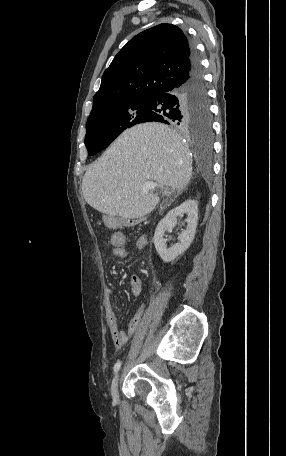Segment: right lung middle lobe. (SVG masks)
<instances>
[{
  "label": "right lung middle lobe",
  "instance_id": "obj_1",
  "mask_svg": "<svg viewBox=\"0 0 286 456\" xmlns=\"http://www.w3.org/2000/svg\"><path fill=\"white\" fill-rule=\"evenodd\" d=\"M147 99L131 98L109 104L89 116L86 124L85 145L90 156L108 147L125 129L146 122L151 109ZM189 130L198 131L207 137L211 133V118Z\"/></svg>",
  "mask_w": 286,
  "mask_h": 456
}]
</instances>
